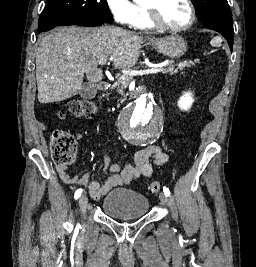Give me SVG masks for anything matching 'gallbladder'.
Listing matches in <instances>:
<instances>
[{
  "instance_id": "gallbladder-1",
  "label": "gallbladder",
  "mask_w": 256,
  "mask_h": 267,
  "mask_svg": "<svg viewBox=\"0 0 256 267\" xmlns=\"http://www.w3.org/2000/svg\"><path fill=\"white\" fill-rule=\"evenodd\" d=\"M79 94L81 98H84V100H92V98H95L97 94V88L95 84L88 82V84H84V86H82Z\"/></svg>"
}]
</instances>
